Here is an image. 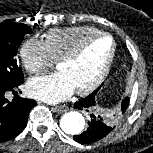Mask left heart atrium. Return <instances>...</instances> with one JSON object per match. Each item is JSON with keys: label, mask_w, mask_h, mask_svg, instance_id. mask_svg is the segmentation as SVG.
Wrapping results in <instances>:
<instances>
[{"label": "left heart atrium", "mask_w": 153, "mask_h": 153, "mask_svg": "<svg viewBox=\"0 0 153 153\" xmlns=\"http://www.w3.org/2000/svg\"><path fill=\"white\" fill-rule=\"evenodd\" d=\"M74 90L71 81L62 71L34 77L27 84L31 97L48 103L66 100Z\"/></svg>", "instance_id": "1"}]
</instances>
